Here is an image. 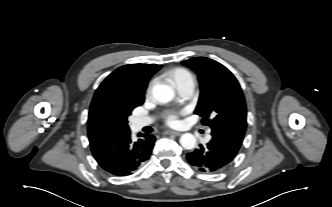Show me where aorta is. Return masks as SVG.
<instances>
[{
	"mask_svg": "<svg viewBox=\"0 0 332 207\" xmlns=\"http://www.w3.org/2000/svg\"><path fill=\"white\" fill-rule=\"evenodd\" d=\"M153 97L160 103L170 102L174 98V90L164 84H157L152 88ZM180 144L184 149L191 150L196 145V138L191 133H185L180 137Z\"/></svg>",
	"mask_w": 332,
	"mask_h": 207,
	"instance_id": "1",
	"label": "aorta"
}]
</instances>
